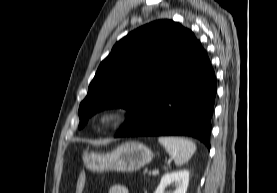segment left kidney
I'll use <instances>...</instances> for the list:
<instances>
[{"label": "left kidney", "mask_w": 277, "mask_h": 193, "mask_svg": "<svg viewBox=\"0 0 277 193\" xmlns=\"http://www.w3.org/2000/svg\"><path fill=\"white\" fill-rule=\"evenodd\" d=\"M175 184V190L172 193H186L189 183V171L181 170L172 173H166L162 176L159 186L155 193H164L165 188L170 184Z\"/></svg>", "instance_id": "1"}]
</instances>
